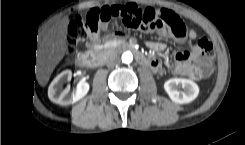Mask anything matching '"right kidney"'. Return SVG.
<instances>
[{
    "label": "right kidney",
    "instance_id": "ca27d5eb",
    "mask_svg": "<svg viewBox=\"0 0 245 145\" xmlns=\"http://www.w3.org/2000/svg\"><path fill=\"white\" fill-rule=\"evenodd\" d=\"M71 71H63L55 77L48 89L49 99L60 105H70L77 102L85 96L89 90V85L86 82H79L75 88H62L66 81L71 79Z\"/></svg>",
    "mask_w": 245,
    "mask_h": 145
}]
</instances>
